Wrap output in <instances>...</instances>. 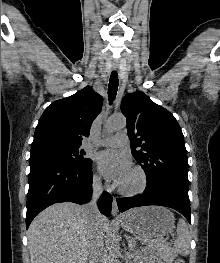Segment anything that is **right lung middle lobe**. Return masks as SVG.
I'll return each mask as SVG.
<instances>
[{
	"label": "right lung middle lobe",
	"mask_w": 220,
	"mask_h": 263,
	"mask_svg": "<svg viewBox=\"0 0 220 263\" xmlns=\"http://www.w3.org/2000/svg\"><path fill=\"white\" fill-rule=\"evenodd\" d=\"M84 154V151H79V147H74L67 149H48L31 154L30 157L49 158L62 163L81 167L86 166L92 162L91 159L83 157Z\"/></svg>",
	"instance_id": "obj_1"
}]
</instances>
